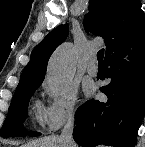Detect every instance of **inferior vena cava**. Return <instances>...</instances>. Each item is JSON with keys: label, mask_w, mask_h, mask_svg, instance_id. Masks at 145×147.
<instances>
[{"label": "inferior vena cava", "mask_w": 145, "mask_h": 147, "mask_svg": "<svg viewBox=\"0 0 145 147\" xmlns=\"http://www.w3.org/2000/svg\"><path fill=\"white\" fill-rule=\"evenodd\" d=\"M74 118L70 116L62 129L60 140L63 144V147H75L72 139Z\"/></svg>", "instance_id": "obj_1"}]
</instances>
